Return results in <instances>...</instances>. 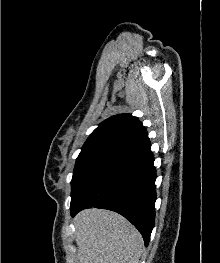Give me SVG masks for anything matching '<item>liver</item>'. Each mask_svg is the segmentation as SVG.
I'll return each mask as SVG.
<instances>
[{
    "label": "liver",
    "instance_id": "obj_1",
    "mask_svg": "<svg viewBox=\"0 0 220 263\" xmlns=\"http://www.w3.org/2000/svg\"><path fill=\"white\" fill-rule=\"evenodd\" d=\"M78 263H139L143 238L123 216L88 208L76 215Z\"/></svg>",
    "mask_w": 220,
    "mask_h": 263
}]
</instances>
